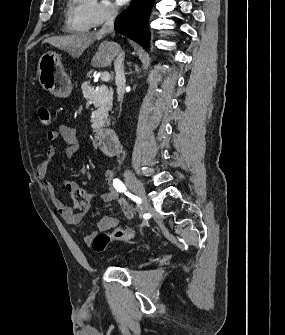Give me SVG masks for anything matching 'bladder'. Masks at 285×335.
<instances>
[{
	"instance_id": "1",
	"label": "bladder",
	"mask_w": 285,
	"mask_h": 335,
	"mask_svg": "<svg viewBox=\"0 0 285 335\" xmlns=\"http://www.w3.org/2000/svg\"><path fill=\"white\" fill-rule=\"evenodd\" d=\"M138 257H139V253L136 252V253H135V260H133V263H135V261L138 259ZM133 263H132V264H133ZM132 264H131V265H132Z\"/></svg>"
}]
</instances>
